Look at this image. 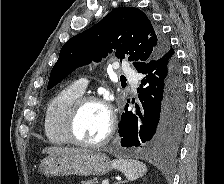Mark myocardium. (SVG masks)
Listing matches in <instances>:
<instances>
[{"label":"myocardium","instance_id":"obj_1","mask_svg":"<svg viewBox=\"0 0 224 184\" xmlns=\"http://www.w3.org/2000/svg\"><path fill=\"white\" fill-rule=\"evenodd\" d=\"M90 103H95L103 106L107 110L109 115L108 131L101 140L96 142L82 141L78 138L76 134V123L78 116L83 107ZM116 126H117L116 112L111 103L107 99L101 96L81 95L72 103L71 107L68 110L65 121V133L68 141L74 145L84 148H99L104 146L112 139L116 131Z\"/></svg>","mask_w":224,"mask_h":184}]
</instances>
